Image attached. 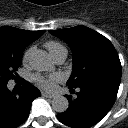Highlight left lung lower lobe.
Listing matches in <instances>:
<instances>
[{
	"mask_svg": "<svg viewBox=\"0 0 128 128\" xmlns=\"http://www.w3.org/2000/svg\"><path fill=\"white\" fill-rule=\"evenodd\" d=\"M120 79L113 76H96L79 86L77 97L69 100L66 112L57 118L72 128H89L97 124L113 106L119 89ZM73 93L77 87L69 86Z\"/></svg>",
	"mask_w": 128,
	"mask_h": 128,
	"instance_id": "0a47b994",
	"label": "left lung lower lobe"
}]
</instances>
